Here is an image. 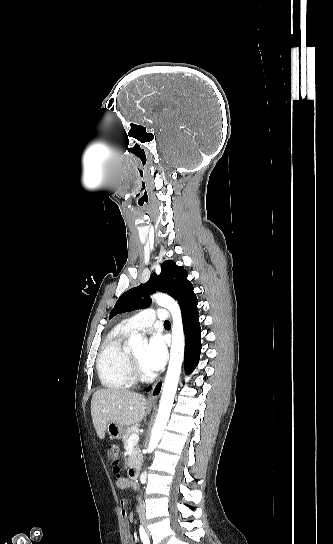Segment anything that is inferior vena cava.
I'll use <instances>...</instances> for the list:
<instances>
[{
  "label": "inferior vena cava",
  "instance_id": "1",
  "mask_svg": "<svg viewBox=\"0 0 333 544\" xmlns=\"http://www.w3.org/2000/svg\"><path fill=\"white\" fill-rule=\"evenodd\" d=\"M137 511L140 517L144 515V505L142 504L141 499H139V506L137 508Z\"/></svg>",
  "mask_w": 333,
  "mask_h": 544
}]
</instances>
